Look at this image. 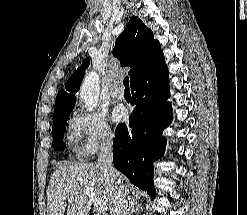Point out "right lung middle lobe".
Listing matches in <instances>:
<instances>
[{"mask_svg": "<svg viewBox=\"0 0 247 215\" xmlns=\"http://www.w3.org/2000/svg\"><path fill=\"white\" fill-rule=\"evenodd\" d=\"M71 109L72 108H68L60 113L54 114L53 128H52V136H53L52 146L54 150L60 151V150H64L65 148V145L62 143V140Z\"/></svg>", "mask_w": 247, "mask_h": 215, "instance_id": "dd1d6c3e", "label": "right lung middle lobe"}]
</instances>
